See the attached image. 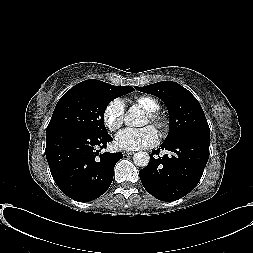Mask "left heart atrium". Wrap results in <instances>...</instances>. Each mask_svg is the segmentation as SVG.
Listing matches in <instances>:
<instances>
[{"label": "left heart atrium", "mask_w": 253, "mask_h": 253, "mask_svg": "<svg viewBox=\"0 0 253 253\" xmlns=\"http://www.w3.org/2000/svg\"><path fill=\"white\" fill-rule=\"evenodd\" d=\"M159 136L156 129L147 126L139 130H124L117 134L115 146L120 150H141L158 143Z\"/></svg>", "instance_id": "39dd6f15"}]
</instances>
